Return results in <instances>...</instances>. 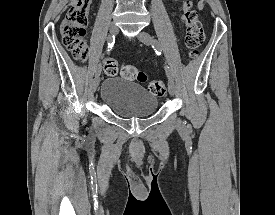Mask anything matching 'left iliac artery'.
Returning a JSON list of instances; mask_svg holds the SVG:
<instances>
[{
  "label": "left iliac artery",
  "mask_w": 275,
  "mask_h": 215,
  "mask_svg": "<svg viewBox=\"0 0 275 215\" xmlns=\"http://www.w3.org/2000/svg\"><path fill=\"white\" fill-rule=\"evenodd\" d=\"M152 47L154 48L156 54L160 55L161 54V47L159 45V43L154 40L153 43H152ZM165 72H166V75L169 79H173V75L170 71V68L168 66H165Z\"/></svg>",
  "instance_id": "left-iliac-artery-1"
}]
</instances>
